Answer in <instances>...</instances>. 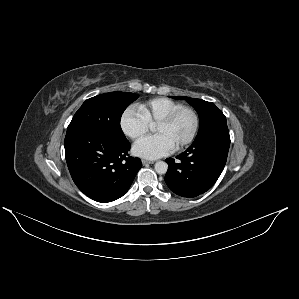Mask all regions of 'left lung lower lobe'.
I'll list each match as a JSON object with an SVG mask.
<instances>
[{"label":"left lung lower lobe","instance_id":"1","mask_svg":"<svg viewBox=\"0 0 299 299\" xmlns=\"http://www.w3.org/2000/svg\"><path fill=\"white\" fill-rule=\"evenodd\" d=\"M230 146L228 130L214 131L193 144L174 160L166 159L167 186L177 195L196 197L209 190L222 173Z\"/></svg>","mask_w":299,"mask_h":299}]
</instances>
